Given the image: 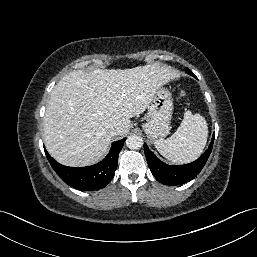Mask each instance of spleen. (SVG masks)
<instances>
[{
	"label": "spleen",
	"instance_id": "3e777b00",
	"mask_svg": "<svg viewBox=\"0 0 257 257\" xmlns=\"http://www.w3.org/2000/svg\"><path fill=\"white\" fill-rule=\"evenodd\" d=\"M208 137L207 122L200 114L184 113L177 131L166 140H156L159 153L174 163H188L200 156Z\"/></svg>",
	"mask_w": 257,
	"mask_h": 257
}]
</instances>
